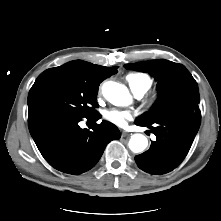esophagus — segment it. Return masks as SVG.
Listing matches in <instances>:
<instances>
[{
	"instance_id": "34e87169",
	"label": "esophagus",
	"mask_w": 221,
	"mask_h": 221,
	"mask_svg": "<svg viewBox=\"0 0 221 221\" xmlns=\"http://www.w3.org/2000/svg\"><path fill=\"white\" fill-rule=\"evenodd\" d=\"M127 135H129V132H128V131H123V132H122V136H127Z\"/></svg>"
}]
</instances>
